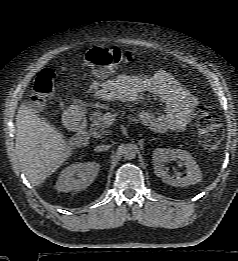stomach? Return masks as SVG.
I'll return each mask as SVG.
<instances>
[{
  "label": "stomach",
  "mask_w": 238,
  "mask_h": 261,
  "mask_svg": "<svg viewBox=\"0 0 238 261\" xmlns=\"http://www.w3.org/2000/svg\"><path fill=\"white\" fill-rule=\"evenodd\" d=\"M81 112V108H79V107H76V108H74L72 111H71V113L72 114H78V113H80Z\"/></svg>",
  "instance_id": "1"
}]
</instances>
